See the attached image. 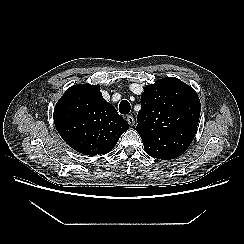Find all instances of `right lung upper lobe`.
I'll list each match as a JSON object with an SVG mask.
<instances>
[{
	"mask_svg": "<svg viewBox=\"0 0 244 244\" xmlns=\"http://www.w3.org/2000/svg\"><path fill=\"white\" fill-rule=\"evenodd\" d=\"M54 123L63 140L74 150L95 156L108 153L129 124L101 95L99 85H75L60 98Z\"/></svg>",
	"mask_w": 244,
	"mask_h": 244,
	"instance_id": "1",
	"label": "right lung upper lobe"
}]
</instances>
